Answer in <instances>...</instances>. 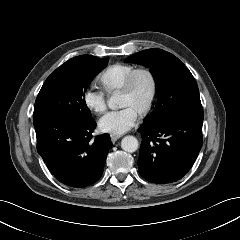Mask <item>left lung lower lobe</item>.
Wrapping results in <instances>:
<instances>
[{
	"instance_id": "obj_1",
	"label": "left lung lower lobe",
	"mask_w": 240,
	"mask_h": 240,
	"mask_svg": "<svg viewBox=\"0 0 240 240\" xmlns=\"http://www.w3.org/2000/svg\"><path fill=\"white\" fill-rule=\"evenodd\" d=\"M203 118L177 116L159 124H142L139 173L149 182L180 180L194 164L202 147Z\"/></svg>"
}]
</instances>
